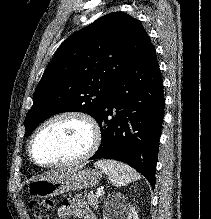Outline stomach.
Returning a JSON list of instances; mask_svg holds the SVG:
<instances>
[{
  "label": "stomach",
  "instance_id": "1",
  "mask_svg": "<svg viewBox=\"0 0 211 219\" xmlns=\"http://www.w3.org/2000/svg\"><path fill=\"white\" fill-rule=\"evenodd\" d=\"M101 174L95 169L66 170L32 182L28 191L34 196L47 198L72 190L91 188L99 183Z\"/></svg>",
  "mask_w": 211,
  "mask_h": 219
}]
</instances>
